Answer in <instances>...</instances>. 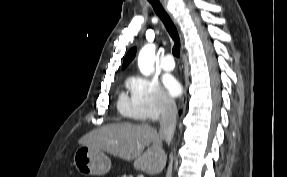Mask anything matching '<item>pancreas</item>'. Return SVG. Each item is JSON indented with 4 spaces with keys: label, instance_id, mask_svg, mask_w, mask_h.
Here are the masks:
<instances>
[{
    "label": "pancreas",
    "instance_id": "pancreas-1",
    "mask_svg": "<svg viewBox=\"0 0 287 177\" xmlns=\"http://www.w3.org/2000/svg\"><path fill=\"white\" fill-rule=\"evenodd\" d=\"M121 177H127L126 175H122Z\"/></svg>",
    "mask_w": 287,
    "mask_h": 177
}]
</instances>
